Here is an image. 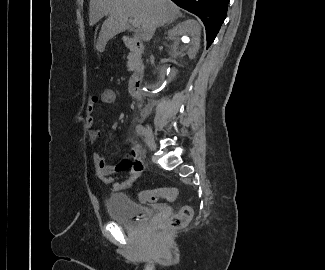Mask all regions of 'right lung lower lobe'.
<instances>
[{
    "mask_svg": "<svg viewBox=\"0 0 325 270\" xmlns=\"http://www.w3.org/2000/svg\"><path fill=\"white\" fill-rule=\"evenodd\" d=\"M178 6L197 15L205 25L207 48L214 41L225 20L230 0H172Z\"/></svg>",
    "mask_w": 325,
    "mask_h": 270,
    "instance_id": "98d812e1",
    "label": "right lung lower lobe"
}]
</instances>
